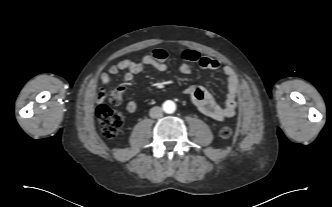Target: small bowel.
<instances>
[{
  "mask_svg": "<svg viewBox=\"0 0 332 207\" xmlns=\"http://www.w3.org/2000/svg\"><path fill=\"white\" fill-rule=\"evenodd\" d=\"M184 61L180 65L179 71L184 75L191 73V68L188 63H196L203 69L217 70L220 68V63L213 58L202 56L195 50H186L181 54ZM168 54L164 49H154L149 54L143 56L139 61L124 59L112 65L108 72L101 75V82L103 85H109L113 75H116L121 70H126L124 79L127 82L133 81L139 73H141L146 66H151L160 72H166ZM223 73L226 76L228 83V90L226 100L223 105L215 102L208 90L202 86H189L183 92L191 99L192 104L204 115L216 120L224 121L232 118L236 113L237 95L239 92V78L235 70L230 66L223 68ZM125 91V87L119 86L115 92L121 97ZM128 112L135 113L137 104L134 101H129L126 105Z\"/></svg>",
  "mask_w": 332,
  "mask_h": 207,
  "instance_id": "c3829d8e",
  "label": "small bowel"
}]
</instances>
